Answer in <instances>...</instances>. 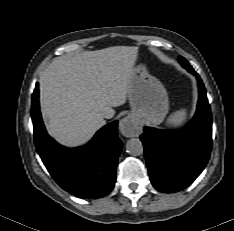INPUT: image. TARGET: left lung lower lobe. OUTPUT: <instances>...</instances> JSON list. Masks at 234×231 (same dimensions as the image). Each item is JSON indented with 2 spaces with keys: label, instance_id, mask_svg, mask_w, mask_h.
<instances>
[{
  "label": "left lung lower lobe",
  "instance_id": "obj_1",
  "mask_svg": "<svg viewBox=\"0 0 234 231\" xmlns=\"http://www.w3.org/2000/svg\"><path fill=\"white\" fill-rule=\"evenodd\" d=\"M180 64L198 81L195 116L180 130L145 127L140 136L150 180L164 193L178 192L189 186L205 168L212 148V115L204 84L188 62Z\"/></svg>",
  "mask_w": 234,
  "mask_h": 231
}]
</instances>
